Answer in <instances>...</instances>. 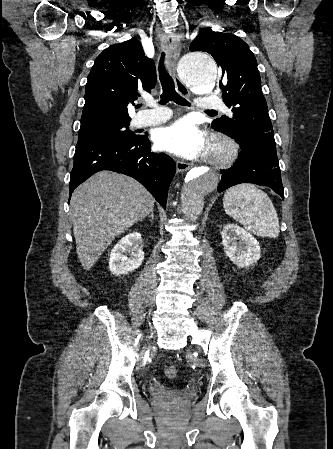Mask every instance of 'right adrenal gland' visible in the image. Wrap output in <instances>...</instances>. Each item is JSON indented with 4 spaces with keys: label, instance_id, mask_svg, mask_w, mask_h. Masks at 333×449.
<instances>
[{
    "label": "right adrenal gland",
    "instance_id": "obj_1",
    "mask_svg": "<svg viewBox=\"0 0 333 449\" xmlns=\"http://www.w3.org/2000/svg\"><path fill=\"white\" fill-rule=\"evenodd\" d=\"M149 217L153 220L154 219V213L152 212Z\"/></svg>",
    "mask_w": 333,
    "mask_h": 449
}]
</instances>
